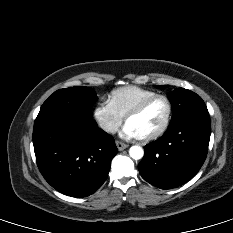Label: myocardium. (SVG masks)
I'll return each instance as SVG.
<instances>
[{
	"instance_id": "1",
	"label": "myocardium",
	"mask_w": 233,
	"mask_h": 233,
	"mask_svg": "<svg viewBox=\"0 0 233 233\" xmlns=\"http://www.w3.org/2000/svg\"><path fill=\"white\" fill-rule=\"evenodd\" d=\"M158 99L163 100L166 103V107H167V113H166L164 123L154 133L147 135V136L140 137L142 141L148 142V141L156 140L166 132V130L168 129L170 125L171 118H172V112H173L172 103L170 99L164 94H155L143 100L136 107H134L131 111H129L127 115L125 116V122L127 123L129 119L141 114L151 103H153L155 100H158Z\"/></svg>"
}]
</instances>
